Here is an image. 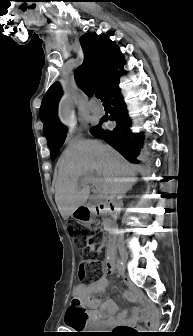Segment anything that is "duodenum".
I'll use <instances>...</instances> for the list:
<instances>
[{
    "instance_id": "duodenum-1",
    "label": "duodenum",
    "mask_w": 193,
    "mask_h": 336,
    "mask_svg": "<svg viewBox=\"0 0 193 336\" xmlns=\"http://www.w3.org/2000/svg\"><path fill=\"white\" fill-rule=\"evenodd\" d=\"M115 206L113 203H101L94 206V210L98 215H106L111 211H114ZM106 258L109 264L115 265V250L113 238H110V241L107 246Z\"/></svg>"
}]
</instances>
